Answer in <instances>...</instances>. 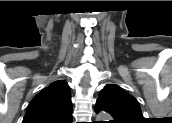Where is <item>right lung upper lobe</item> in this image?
<instances>
[{
    "label": "right lung upper lobe",
    "instance_id": "cb5924a9",
    "mask_svg": "<svg viewBox=\"0 0 172 123\" xmlns=\"http://www.w3.org/2000/svg\"><path fill=\"white\" fill-rule=\"evenodd\" d=\"M23 123H72L71 91L58 80L39 92L29 103Z\"/></svg>",
    "mask_w": 172,
    "mask_h": 123
}]
</instances>
